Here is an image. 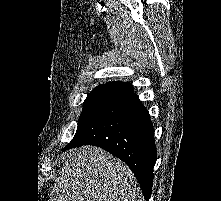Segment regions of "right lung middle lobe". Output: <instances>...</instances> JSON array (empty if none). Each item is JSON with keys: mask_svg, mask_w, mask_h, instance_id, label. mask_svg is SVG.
<instances>
[{"mask_svg": "<svg viewBox=\"0 0 221 201\" xmlns=\"http://www.w3.org/2000/svg\"><path fill=\"white\" fill-rule=\"evenodd\" d=\"M117 92L112 88H95L88 94L84 101V106L80 118L78 120L77 131L89 121V119Z\"/></svg>", "mask_w": 221, "mask_h": 201, "instance_id": "obj_1", "label": "right lung middle lobe"}]
</instances>
